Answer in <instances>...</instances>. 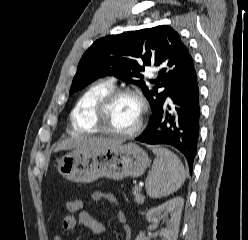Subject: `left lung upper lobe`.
Masks as SVG:
<instances>
[{
    "mask_svg": "<svg viewBox=\"0 0 248 240\" xmlns=\"http://www.w3.org/2000/svg\"><path fill=\"white\" fill-rule=\"evenodd\" d=\"M158 66V77L144 79L145 66ZM194 61L180 35L167 25H160L95 41L81 58L69 94L92 81L115 76L124 82L138 85L154 115L163 106L170 91L195 73ZM165 87L164 91L158 88Z\"/></svg>",
    "mask_w": 248,
    "mask_h": 240,
    "instance_id": "left-lung-upper-lobe-1",
    "label": "left lung upper lobe"
}]
</instances>
